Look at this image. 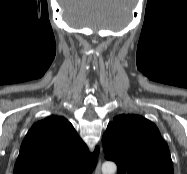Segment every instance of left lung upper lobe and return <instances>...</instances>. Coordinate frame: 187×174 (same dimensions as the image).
I'll return each instance as SVG.
<instances>
[{"mask_svg": "<svg viewBox=\"0 0 187 174\" xmlns=\"http://www.w3.org/2000/svg\"><path fill=\"white\" fill-rule=\"evenodd\" d=\"M102 145L105 159L117 164V174H173L168 145L156 125L142 116H116Z\"/></svg>", "mask_w": 187, "mask_h": 174, "instance_id": "obj_1", "label": "left lung upper lobe"}]
</instances>
